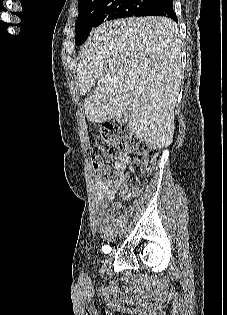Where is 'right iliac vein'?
Wrapping results in <instances>:
<instances>
[{
  "instance_id": "obj_1",
  "label": "right iliac vein",
  "mask_w": 227,
  "mask_h": 315,
  "mask_svg": "<svg viewBox=\"0 0 227 315\" xmlns=\"http://www.w3.org/2000/svg\"><path fill=\"white\" fill-rule=\"evenodd\" d=\"M122 232H123L122 226L118 227L116 230V236H121Z\"/></svg>"
}]
</instances>
